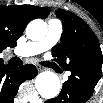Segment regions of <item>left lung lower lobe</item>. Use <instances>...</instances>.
Returning <instances> with one entry per match:
<instances>
[{"instance_id":"1","label":"left lung lower lobe","mask_w":103,"mask_h":103,"mask_svg":"<svg viewBox=\"0 0 103 103\" xmlns=\"http://www.w3.org/2000/svg\"><path fill=\"white\" fill-rule=\"evenodd\" d=\"M60 94L46 103H85L92 95L102 74V63L79 65L71 70Z\"/></svg>"}]
</instances>
